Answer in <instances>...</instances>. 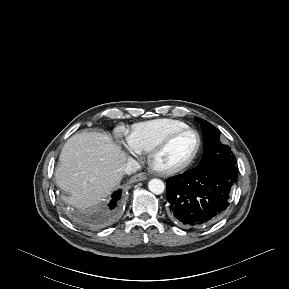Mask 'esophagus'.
<instances>
[{
	"instance_id": "1",
	"label": "esophagus",
	"mask_w": 289,
	"mask_h": 289,
	"mask_svg": "<svg viewBox=\"0 0 289 289\" xmlns=\"http://www.w3.org/2000/svg\"><path fill=\"white\" fill-rule=\"evenodd\" d=\"M147 179V176L142 174V173H139V174H136L134 175L131 179H130V183H135V182H139V181H143V180H146Z\"/></svg>"
}]
</instances>
